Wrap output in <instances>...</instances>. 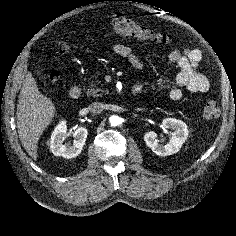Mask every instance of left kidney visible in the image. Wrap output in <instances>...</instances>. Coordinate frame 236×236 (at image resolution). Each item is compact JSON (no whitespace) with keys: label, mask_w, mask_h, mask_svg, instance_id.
Masks as SVG:
<instances>
[{"label":"left kidney","mask_w":236,"mask_h":236,"mask_svg":"<svg viewBox=\"0 0 236 236\" xmlns=\"http://www.w3.org/2000/svg\"><path fill=\"white\" fill-rule=\"evenodd\" d=\"M162 126L166 129L173 130L169 142L166 145L160 144L157 134L154 131H149L144 135L146 145L159 156H168L177 153L188 138L189 131L187 125L181 120L166 118L163 120Z\"/></svg>","instance_id":"obj_1"}]
</instances>
